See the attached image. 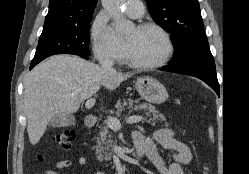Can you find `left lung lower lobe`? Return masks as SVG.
I'll return each mask as SVG.
<instances>
[{
	"label": "left lung lower lobe",
	"instance_id": "0a47b994",
	"mask_svg": "<svg viewBox=\"0 0 249 174\" xmlns=\"http://www.w3.org/2000/svg\"><path fill=\"white\" fill-rule=\"evenodd\" d=\"M215 69L216 68L198 67V68H191V69H186V70H177V69H174L168 66V67L162 68L161 70L197 77L201 79L202 81H204L206 84H208L219 96L220 87H219V83L217 80Z\"/></svg>",
	"mask_w": 249,
	"mask_h": 174
}]
</instances>
